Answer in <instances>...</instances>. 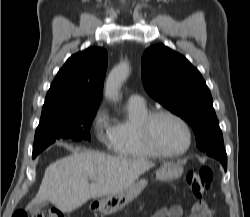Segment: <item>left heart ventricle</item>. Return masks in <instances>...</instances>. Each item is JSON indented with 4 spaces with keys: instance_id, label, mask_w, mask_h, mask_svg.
<instances>
[{
    "instance_id": "left-heart-ventricle-1",
    "label": "left heart ventricle",
    "mask_w": 250,
    "mask_h": 217,
    "mask_svg": "<svg viewBox=\"0 0 250 217\" xmlns=\"http://www.w3.org/2000/svg\"><path fill=\"white\" fill-rule=\"evenodd\" d=\"M153 132L158 146L167 152H176L185 148L187 134L182 125L170 117L156 119Z\"/></svg>"
}]
</instances>
